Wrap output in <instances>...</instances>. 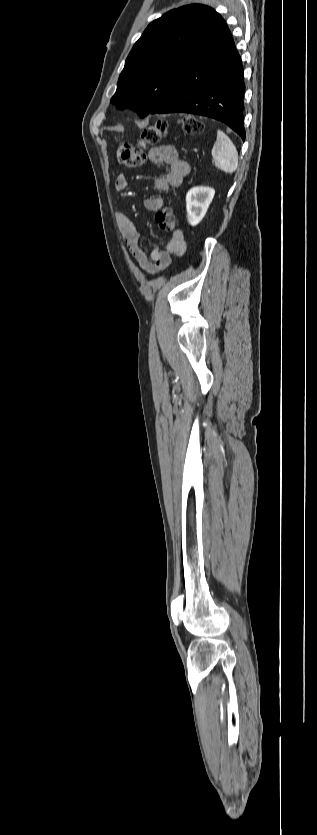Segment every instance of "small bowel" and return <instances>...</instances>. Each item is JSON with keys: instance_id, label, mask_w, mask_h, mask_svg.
I'll use <instances>...</instances> for the list:
<instances>
[{"instance_id": "1", "label": "small bowel", "mask_w": 317, "mask_h": 835, "mask_svg": "<svg viewBox=\"0 0 317 835\" xmlns=\"http://www.w3.org/2000/svg\"><path fill=\"white\" fill-rule=\"evenodd\" d=\"M149 159L154 164L166 166L164 175L154 180V189L158 193H167L171 187H179L190 171L188 162L181 160L177 149L169 144L153 147L149 151ZM129 187L126 175L119 174L115 181V189L124 192ZM147 210L156 212L163 206L161 197L148 198L144 202ZM116 222L120 233L136 258L140 268L149 275H154L169 266L172 256H182L185 252V240L182 232L175 233L165 250L153 249L147 254L140 244V232L136 224L124 213H116Z\"/></svg>"}]
</instances>
